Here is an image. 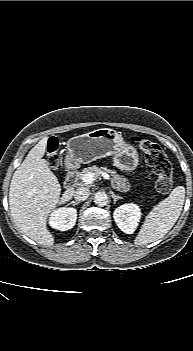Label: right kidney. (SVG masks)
Instances as JSON below:
<instances>
[{
    "mask_svg": "<svg viewBox=\"0 0 193 351\" xmlns=\"http://www.w3.org/2000/svg\"><path fill=\"white\" fill-rule=\"evenodd\" d=\"M77 219L75 208L61 207L51 212L49 224L52 228L66 231L74 227Z\"/></svg>",
    "mask_w": 193,
    "mask_h": 351,
    "instance_id": "1",
    "label": "right kidney"
}]
</instances>
